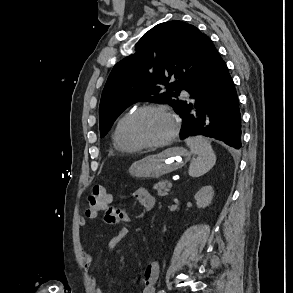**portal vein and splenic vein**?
<instances>
[{"instance_id": "portal-vein-and-splenic-vein-1", "label": "portal vein and splenic vein", "mask_w": 293, "mask_h": 293, "mask_svg": "<svg viewBox=\"0 0 293 293\" xmlns=\"http://www.w3.org/2000/svg\"><path fill=\"white\" fill-rule=\"evenodd\" d=\"M173 184L172 182H168V188H172Z\"/></svg>"}]
</instances>
